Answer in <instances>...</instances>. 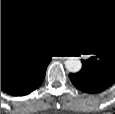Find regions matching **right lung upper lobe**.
Returning <instances> with one entry per match:
<instances>
[{"mask_svg":"<svg viewBox=\"0 0 115 114\" xmlns=\"http://www.w3.org/2000/svg\"><path fill=\"white\" fill-rule=\"evenodd\" d=\"M45 57L25 50L22 40L13 35H1V73L19 72L30 65L42 62Z\"/></svg>","mask_w":115,"mask_h":114,"instance_id":"cb5924a9","label":"right lung upper lobe"}]
</instances>
